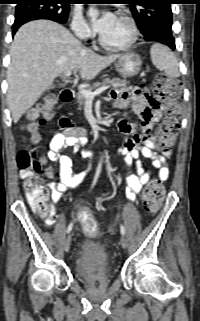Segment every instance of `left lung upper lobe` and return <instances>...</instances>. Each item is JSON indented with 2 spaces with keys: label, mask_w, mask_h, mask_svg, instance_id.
Wrapping results in <instances>:
<instances>
[{
  "label": "left lung upper lobe",
  "mask_w": 200,
  "mask_h": 321,
  "mask_svg": "<svg viewBox=\"0 0 200 321\" xmlns=\"http://www.w3.org/2000/svg\"><path fill=\"white\" fill-rule=\"evenodd\" d=\"M173 0H125L140 32L147 37L172 35Z\"/></svg>",
  "instance_id": "left-lung-upper-lobe-1"
}]
</instances>
